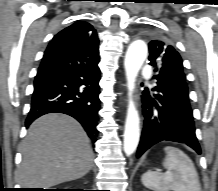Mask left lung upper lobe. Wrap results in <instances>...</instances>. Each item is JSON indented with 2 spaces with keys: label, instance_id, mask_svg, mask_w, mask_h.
Returning a JSON list of instances; mask_svg holds the SVG:
<instances>
[{
  "label": "left lung upper lobe",
  "instance_id": "1",
  "mask_svg": "<svg viewBox=\"0 0 218 191\" xmlns=\"http://www.w3.org/2000/svg\"><path fill=\"white\" fill-rule=\"evenodd\" d=\"M149 52L150 64L159 72L155 77L157 86L168 96L179 95L189 99L182 59L175 48L156 39L149 43Z\"/></svg>",
  "mask_w": 218,
  "mask_h": 191
}]
</instances>
